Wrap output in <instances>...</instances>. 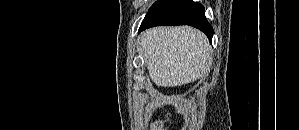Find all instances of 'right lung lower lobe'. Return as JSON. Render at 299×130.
<instances>
[{
    "mask_svg": "<svg viewBox=\"0 0 299 130\" xmlns=\"http://www.w3.org/2000/svg\"><path fill=\"white\" fill-rule=\"evenodd\" d=\"M204 11L202 4L192 0H158L149 9L139 32L159 25H190L204 32L211 41L213 28Z\"/></svg>",
    "mask_w": 299,
    "mask_h": 130,
    "instance_id": "98d812e1",
    "label": "right lung lower lobe"
}]
</instances>
